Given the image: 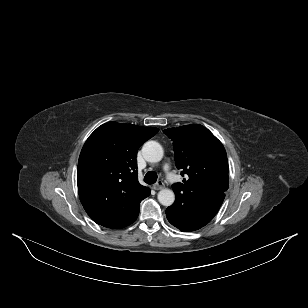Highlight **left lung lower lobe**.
Listing matches in <instances>:
<instances>
[{"label": "left lung lower lobe", "instance_id": "0a47b994", "mask_svg": "<svg viewBox=\"0 0 308 308\" xmlns=\"http://www.w3.org/2000/svg\"><path fill=\"white\" fill-rule=\"evenodd\" d=\"M225 194H221L207 201L180 208L171 205L166 209L168 221L179 230L190 232L200 229L209 223L218 212Z\"/></svg>", "mask_w": 308, "mask_h": 308}]
</instances>
